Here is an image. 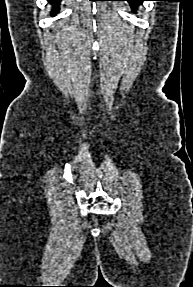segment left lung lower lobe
<instances>
[{
    "mask_svg": "<svg viewBox=\"0 0 193 287\" xmlns=\"http://www.w3.org/2000/svg\"><path fill=\"white\" fill-rule=\"evenodd\" d=\"M123 1H128L132 7L136 8L143 1H151V0H123Z\"/></svg>",
    "mask_w": 193,
    "mask_h": 287,
    "instance_id": "left-lung-lower-lobe-1",
    "label": "left lung lower lobe"
}]
</instances>
